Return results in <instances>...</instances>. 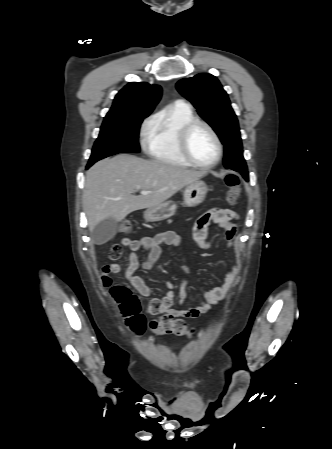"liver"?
I'll use <instances>...</instances> for the list:
<instances>
[{
    "instance_id": "1",
    "label": "liver",
    "mask_w": 332,
    "mask_h": 449,
    "mask_svg": "<svg viewBox=\"0 0 332 449\" xmlns=\"http://www.w3.org/2000/svg\"><path fill=\"white\" fill-rule=\"evenodd\" d=\"M205 175L128 154L101 160L86 173L83 207L89 228L92 231L105 219L121 221L131 212L157 206ZM135 190L150 193L135 196Z\"/></svg>"
}]
</instances>
